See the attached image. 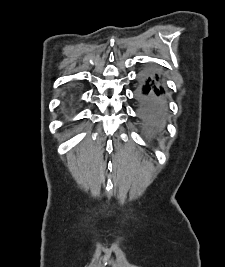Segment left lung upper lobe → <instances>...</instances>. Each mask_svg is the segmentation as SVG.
<instances>
[{
	"label": "left lung upper lobe",
	"mask_w": 225,
	"mask_h": 267,
	"mask_svg": "<svg viewBox=\"0 0 225 267\" xmlns=\"http://www.w3.org/2000/svg\"><path fill=\"white\" fill-rule=\"evenodd\" d=\"M140 115H141V118H142V121H143V124L144 126L149 129V130H152V131H159L162 129L163 124L161 123H158V122H155L151 115L148 113L147 110H144L142 108H140Z\"/></svg>",
	"instance_id": "left-lung-upper-lobe-1"
}]
</instances>
